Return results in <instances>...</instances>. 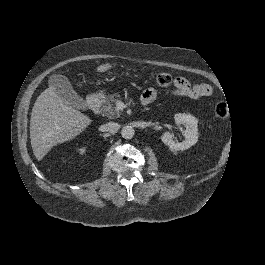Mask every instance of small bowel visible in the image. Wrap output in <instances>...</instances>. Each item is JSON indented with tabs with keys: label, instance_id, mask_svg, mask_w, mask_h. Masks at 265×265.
I'll use <instances>...</instances> for the list:
<instances>
[{
	"label": "small bowel",
	"instance_id": "1",
	"mask_svg": "<svg viewBox=\"0 0 265 265\" xmlns=\"http://www.w3.org/2000/svg\"><path fill=\"white\" fill-rule=\"evenodd\" d=\"M212 93L213 88L211 85L207 83L193 85L184 77H177L174 79V89L171 91V94L174 96H184L191 99L208 97L211 96ZM157 95L155 89H146L141 95V102L143 104H149L157 98Z\"/></svg>",
	"mask_w": 265,
	"mask_h": 265
}]
</instances>
